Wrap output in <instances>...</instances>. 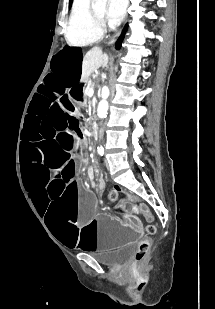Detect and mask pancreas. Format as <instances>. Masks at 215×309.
Here are the masks:
<instances>
[{"instance_id": "1", "label": "pancreas", "mask_w": 215, "mask_h": 309, "mask_svg": "<svg viewBox=\"0 0 215 309\" xmlns=\"http://www.w3.org/2000/svg\"><path fill=\"white\" fill-rule=\"evenodd\" d=\"M85 84H86V88H93L95 82H93L92 78H89V80H86ZM83 92H84L83 98H88V94H87L85 88H84Z\"/></svg>"}]
</instances>
